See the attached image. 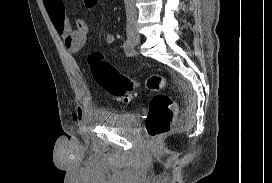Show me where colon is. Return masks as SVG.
I'll return each instance as SVG.
<instances>
[{
  "mask_svg": "<svg viewBox=\"0 0 272 183\" xmlns=\"http://www.w3.org/2000/svg\"><path fill=\"white\" fill-rule=\"evenodd\" d=\"M86 7L93 8L98 0H84ZM89 65L94 80L117 100L129 102L133 92L140 83L120 73L109 62L105 61L102 54L94 52L89 56ZM168 85L164 76L153 74L145 81V86L155 92L149 102L146 118V132L151 140H157L166 135L174 122L176 104L166 94L159 93Z\"/></svg>",
  "mask_w": 272,
  "mask_h": 183,
  "instance_id": "obj_1",
  "label": "colon"
}]
</instances>
